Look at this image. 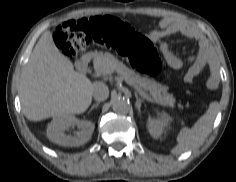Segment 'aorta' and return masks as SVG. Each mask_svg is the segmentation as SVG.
Segmentation results:
<instances>
[{"mask_svg": "<svg viewBox=\"0 0 236 182\" xmlns=\"http://www.w3.org/2000/svg\"><path fill=\"white\" fill-rule=\"evenodd\" d=\"M114 112L117 114H127L130 110V104L128 101L122 97H117L113 100L112 104Z\"/></svg>", "mask_w": 236, "mask_h": 182, "instance_id": "1", "label": "aorta"}]
</instances>
